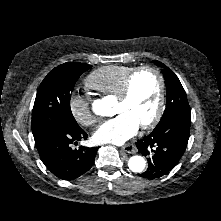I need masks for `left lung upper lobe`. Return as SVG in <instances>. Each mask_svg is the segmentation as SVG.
I'll list each match as a JSON object with an SVG mask.
<instances>
[{"mask_svg":"<svg viewBox=\"0 0 221 221\" xmlns=\"http://www.w3.org/2000/svg\"><path fill=\"white\" fill-rule=\"evenodd\" d=\"M154 62L158 66L165 67V65L159 61ZM162 72L165 78L167 101L165 111L158 125L163 123L173 115L190 113V107L187 100V96L178 77L172 70L167 68H164Z\"/></svg>","mask_w":221,"mask_h":221,"instance_id":"5c2ea615","label":"left lung upper lobe"}]
</instances>
